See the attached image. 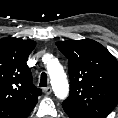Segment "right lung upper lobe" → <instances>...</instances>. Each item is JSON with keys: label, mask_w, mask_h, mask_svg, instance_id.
Here are the masks:
<instances>
[{"label": "right lung upper lobe", "mask_w": 118, "mask_h": 118, "mask_svg": "<svg viewBox=\"0 0 118 118\" xmlns=\"http://www.w3.org/2000/svg\"><path fill=\"white\" fill-rule=\"evenodd\" d=\"M35 45L21 38L0 39V118H27L41 95L26 64Z\"/></svg>", "instance_id": "obj_1"}]
</instances>
